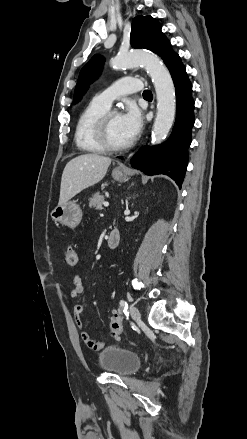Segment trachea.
<instances>
[{"label": "trachea", "instance_id": "1", "mask_svg": "<svg viewBox=\"0 0 247 439\" xmlns=\"http://www.w3.org/2000/svg\"><path fill=\"white\" fill-rule=\"evenodd\" d=\"M143 97H146V98H152V93H151V91H149V90H145V91L143 92Z\"/></svg>", "mask_w": 247, "mask_h": 439}]
</instances>
